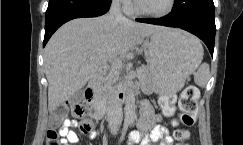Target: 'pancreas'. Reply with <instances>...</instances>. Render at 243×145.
I'll list each match as a JSON object with an SVG mask.
<instances>
[{
    "label": "pancreas",
    "mask_w": 243,
    "mask_h": 145,
    "mask_svg": "<svg viewBox=\"0 0 243 145\" xmlns=\"http://www.w3.org/2000/svg\"><path fill=\"white\" fill-rule=\"evenodd\" d=\"M121 66L117 64L112 65L111 71L108 73L107 71L101 76L100 81L98 83V90L99 91H106L107 89V82L109 78H113L114 81L119 79ZM138 76L139 79L142 81L144 88H147L152 83V75L149 69L142 67L138 69Z\"/></svg>",
    "instance_id": "obj_1"
}]
</instances>
